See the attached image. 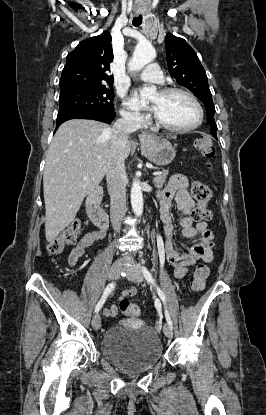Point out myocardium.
Instances as JSON below:
<instances>
[{
  "mask_svg": "<svg viewBox=\"0 0 266 415\" xmlns=\"http://www.w3.org/2000/svg\"><path fill=\"white\" fill-rule=\"evenodd\" d=\"M160 94L168 96V95H173V94H181L186 96L188 99H190L193 104L196 106L197 111H198V119L197 121L187 127H175V126H171L168 125L166 123H164L156 114L154 115V120H155V125L160 128L163 129L165 131L168 132H172V133H185V132H189L192 131L194 129H197L198 127L201 126V124L204 121V110L203 107L201 105V103L199 102V100L189 91L182 89V88H176V87H168V88H164L160 91Z\"/></svg>",
  "mask_w": 266,
  "mask_h": 415,
  "instance_id": "obj_1",
  "label": "myocardium"
}]
</instances>
